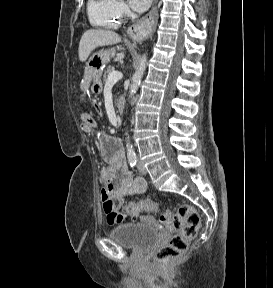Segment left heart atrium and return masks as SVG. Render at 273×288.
I'll return each instance as SVG.
<instances>
[{
    "label": "left heart atrium",
    "instance_id": "obj_1",
    "mask_svg": "<svg viewBox=\"0 0 273 288\" xmlns=\"http://www.w3.org/2000/svg\"><path fill=\"white\" fill-rule=\"evenodd\" d=\"M151 2L152 0H129L131 8L137 12L145 11Z\"/></svg>",
    "mask_w": 273,
    "mask_h": 288
}]
</instances>
